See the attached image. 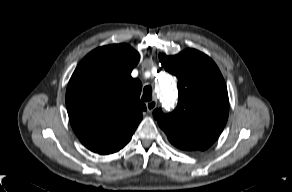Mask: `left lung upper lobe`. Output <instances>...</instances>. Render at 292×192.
<instances>
[{"mask_svg": "<svg viewBox=\"0 0 292 192\" xmlns=\"http://www.w3.org/2000/svg\"><path fill=\"white\" fill-rule=\"evenodd\" d=\"M159 58L165 70L178 78L179 100L173 112L156 109L153 115L174 146L203 151L217 140L228 119L223 76L210 57L195 49Z\"/></svg>", "mask_w": 292, "mask_h": 192, "instance_id": "obj_1", "label": "left lung upper lobe"}]
</instances>
